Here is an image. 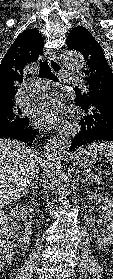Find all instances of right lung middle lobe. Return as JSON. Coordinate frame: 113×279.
Returning <instances> with one entry per match:
<instances>
[{
    "label": "right lung middle lobe",
    "mask_w": 113,
    "mask_h": 279,
    "mask_svg": "<svg viewBox=\"0 0 113 279\" xmlns=\"http://www.w3.org/2000/svg\"><path fill=\"white\" fill-rule=\"evenodd\" d=\"M26 119L21 110L15 106V103L0 108V128L19 125Z\"/></svg>",
    "instance_id": "obj_1"
}]
</instances>
